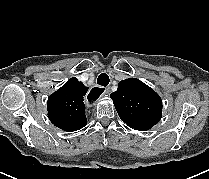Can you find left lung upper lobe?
Masks as SVG:
<instances>
[{
  "label": "left lung upper lobe",
  "mask_w": 209,
  "mask_h": 179,
  "mask_svg": "<svg viewBox=\"0 0 209 179\" xmlns=\"http://www.w3.org/2000/svg\"><path fill=\"white\" fill-rule=\"evenodd\" d=\"M110 97L121 120L135 130H148L161 119L160 96L139 79L120 81Z\"/></svg>",
  "instance_id": "1"
}]
</instances>
